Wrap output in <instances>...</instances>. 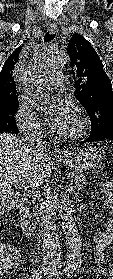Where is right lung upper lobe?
Returning <instances> with one entry per match:
<instances>
[{
  "label": "right lung upper lobe",
  "instance_id": "1",
  "mask_svg": "<svg viewBox=\"0 0 113 279\" xmlns=\"http://www.w3.org/2000/svg\"><path fill=\"white\" fill-rule=\"evenodd\" d=\"M22 47H18L6 60L0 72V109L17 104L16 86L12 70L18 61Z\"/></svg>",
  "mask_w": 113,
  "mask_h": 279
}]
</instances>
